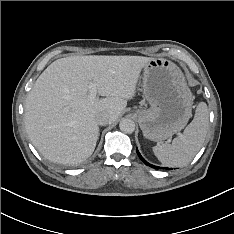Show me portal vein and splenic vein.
Returning a JSON list of instances; mask_svg holds the SVG:
<instances>
[{
  "label": "portal vein and splenic vein",
  "mask_w": 234,
  "mask_h": 234,
  "mask_svg": "<svg viewBox=\"0 0 234 234\" xmlns=\"http://www.w3.org/2000/svg\"><path fill=\"white\" fill-rule=\"evenodd\" d=\"M89 95L88 98L90 100H95L96 99V95H97V87L94 83H90L89 86Z\"/></svg>",
  "instance_id": "portal-vein-and-splenic-vein-1"
}]
</instances>
